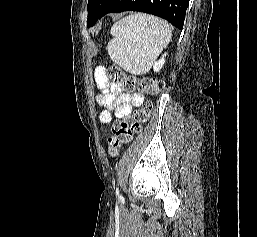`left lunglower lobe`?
<instances>
[{
    "mask_svg": "<svg viewBox=\"0 0 257 237\" xmlns=\"http://www.w3.org/2000/svg\"><path fill=\"white\" fill-rule=\"evenodd\" d=\"M188 4L189 0H108L88 27L108 13L141 11L164 18L182 30Z\"/></svg>",
    "mask_w": 257,
    "mask_h": 237,
    "instance_id": "1",
    "label": "left lung lower lobe"
}]
</instances>
